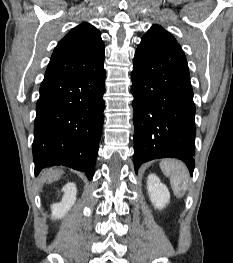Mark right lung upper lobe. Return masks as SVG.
I'll use <instances>...</instances> for the list:
<instances>
[{
	"mask_svg": "<svg viewBox=\"0 0 233 263\" xmlns=\"http://www.w3.org/2000/svg\"><path fill=\"white\" fill-rule=\"evenodd\" d=\"M103 60L104 43L100 31L89 23H82L60 40L44 79L87 75Z\"/></svg>",
	"mask_w": 233,
	"mask_h": 263,
	"instance_id": "1",
	"label": "right lung upper lobe"
}]
</instances>
